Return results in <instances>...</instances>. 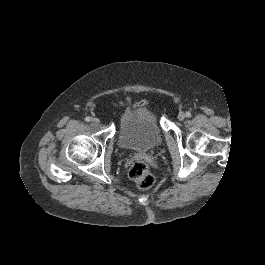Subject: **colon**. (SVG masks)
<instances>
[{"label":"colon","mask_w":265,"mask_h":265,"mask_svg":"<svg viewBox=\"0 0 265 265\" xmlns=\"http://www.w3.org/2000/svg\"><path fill=\"white\" fill-rule=\"evenodd\" d=\"M129 177L142 190L152 188L155 183V178L144 161H136L132 164L129 170Z\"/></svg>","instance_id":"5ec220e1"}]
</instances>
